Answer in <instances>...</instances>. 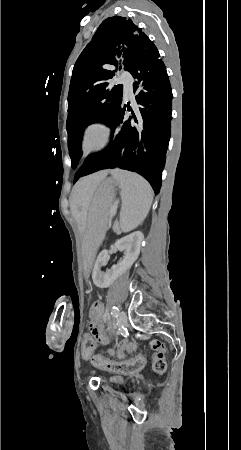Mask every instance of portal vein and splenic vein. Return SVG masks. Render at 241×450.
<instances>
[{
    "mask_svg": "<svg viewBox=\"0 0 241 450\" xmlns=\"http://www.w3.org/2000/svg\"><path fill=\"white\" fill-rule=\"evenodd\" d=\"M110 213H116L117 212V208H118V202H113V204H111L110 206Z\"/></svg>",
    "mask_w": 241,
    "mask_h": 450,
    "instance_id": "1",
    "label": "portal vein and splenic vein"
}]
</instances>
